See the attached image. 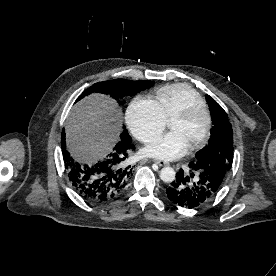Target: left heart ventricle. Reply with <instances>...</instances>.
Instances as JSON below:
<instances>
[{
    "label": "left heart ventricle",
    "instance_id": "obj_1",
    "mask_svg": "<svg viewBox=\"0 0 276 276\" xmlns=\"http://www.w3.org/2000/svg\"><path fill=\"white\" fill-rule=\"evenodd\" d=\"M169 127L172 131L179 132L191 147L204 132L205 117L203 114H198L190 120H172Z\"/></svg>",
    "mask_w": 276,
    "mask_h": 276
}]
</instances>
